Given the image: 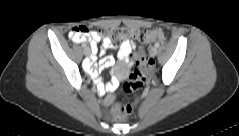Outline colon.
Returning a JSON list of instances; mask_svg holds the SVG:
<instances>
[{
	"mask_svg": "<svg viewBox=\"0 0 239 136\" xmlns=\"http://www.w3.org/2000/svg\"><path fill=\"white\" fill-rule=\"evenodd\" d=\"M90 29L87 26L81 25L71 30V38L74 40L86 39L90 35ZM98 33V32H97ZM101 37L109 39L111 45L115 46L122 42L123 37H129L134 41L141 43H150L156 40H162L164 33L160 29H152L148 31H139L127 28H111L104 29L98 33ZM154 63L144 53L136 54V63L133 70L128 74L126 81L123 84V89L128 93H136L139 91L147 80L148 75L153 69ZM136 105V98L133 103L123 104L117 102L111 108V115L115 121H123L131 114Z\"/></svg>",
	"mask_w": 239,
	"mask_h": 136,
	"instance_id": "colon-1",
	"label": "colon"
}]
</instances>
